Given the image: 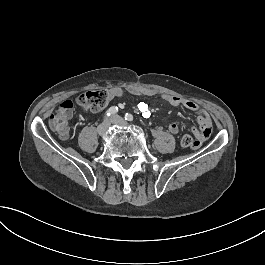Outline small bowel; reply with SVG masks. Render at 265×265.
<instances>
[{
    "label": "small bowel",
    "mask_w": 265,
    "mask_h": 265,
    "mask_svg": "<svg viewBox=\"0 0 265 265\" xmlns=\"http://www.w3.org/2000/svg\"><path fill=\"white\" fill-rule=\"evenodd\" d=\"M108 92L110 99L124 98L127 96L152 97L156 95V91L154 89L136 85L126 87L113 86ZM161 97L172 107L183 108L196 113L197 127H192V132L196 138V141L193 143V148L195 150H200L202 146L201 142L208 139L211 134L212 123L208 112L190 99L168 94H163ZM179 130L180 125L177 122L172 121L168 124V131L171 134L177 135Z\"/></svg>",
    "instance_id": "small-bowel-1"
}]
</instances>
